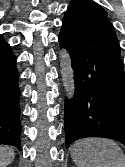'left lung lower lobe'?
I'll list each match as a JSON object with an SVG mask.
<instances>
[{
    "mask_svg": "<svg viewBox=\"0 0 125 167\" xmlns=\"http://www.w3.org/2000/svg\"><path fill=\"white\" fill-rule=\"evenodd\" d=\"M59 43L69 51L75 81L64 106L66 146L85 137L125 145V71L114 27L63 22Z\"/></svg>",
    "mask_w": 125,
    "mask_h": 167,
    "instance_id": "obj_1",
    "label": "left lung lower lobe"
}]
</instances>
